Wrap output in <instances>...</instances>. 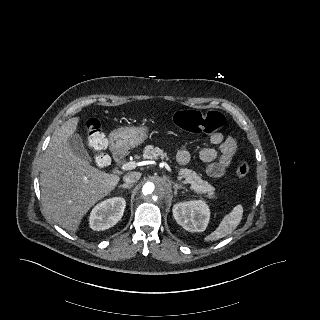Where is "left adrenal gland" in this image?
Returning a JSON list of instances; mask_svg holds the SVG:
<instances>
[{
  "instance_id": "left-adrenal-gland-1",
  "label": "left adrenal gland",
  "mask_w": 320,
  "mask_h": 320,
  "mask_svg": "<svg viewBox=\"0 0 320 320\" xmlns=\"http://www.w3.org/2000/svg\"><path fill=\"white\" fill-rule=\"evenodd\" d=\"M172 184H173L174 191H175L176 194H177L178 189H183V190L187 191V188H185V187H183V186H181V185H179V184H177L175 182H172Z\"/></svg>"
}]
</instances>
